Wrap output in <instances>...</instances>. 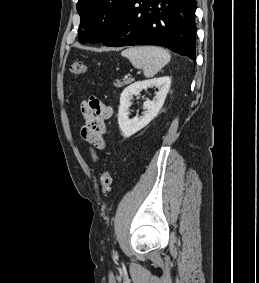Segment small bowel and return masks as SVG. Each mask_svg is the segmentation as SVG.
<instances>
[{"mask_svg": "<svg viewBox=\"0 0 259 283\" xmlns=\"http://www.w3.org/2000/svg\"><path fill=\"white\" fill-rule=\"evenodd\" d=\"M80 113L83 121L81 136L94 150H103L106 121L113 114L112 108L97 98H90L81 103ZM94 158L96 159L95 156Z\"/></svg>", "mask_w": 259, "mask_h": 283, "instance_id": "obj_1", "label": "small bowel"}]
</instances>
